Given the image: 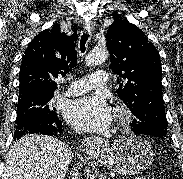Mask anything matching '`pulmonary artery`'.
Segmentation results:
<instances>
[{
    "label": "pulmonary artery",
    "mask_w": 183,
    "mask_h": 179,
    "mask_svg": "<svg viewBox=\"0 0 183 179\" xmlns=\"http://www.w3.org/2000/svg\"><path fill=\"white\" fill-rule=\"evenodd\" d=\"M107 80L108 75L105 71L102 70L96 71L91 75H86L72 81L65 95L75 96L83 94L93 89L94 87L105 85L107 83Z\"/></svg>",
    "instance_id": "pulmonary-artery-1"
}]
</instances>
